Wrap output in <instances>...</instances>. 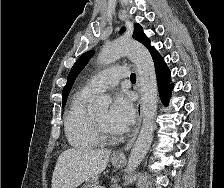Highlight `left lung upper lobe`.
Returning a JSON list of instances; mask_svg holds the SVG:
<instances>
[{"label":"left lung upper lobe","instance_id":"left-lung-upper-lobe-1","mask_svg":"<svg viewBox=\"0 0 224 188\" xmlns=\"http://www.w3.org/2000/svg\"><path fill=\"white\" fill-rule=\"evenodd\" d=\"M135 28H136V30L134 32L133 38L136 39L137 41L141 42L143 45H145L149 49L154 62H157L158 60H160L161 59L160 54L154 49V47H152L150 45V41L146 37V35L143 33L142 27L139 24H136ZM92 54H93L92 50L84 53L83 55L80 56V58L73 65V67L68 75L67 83H66L65 87L63 88L62 107H64V105L66 103L68 94L72 88L75 78L81 72V70L85 67V65L89 61Z\"/></svg>","mask_w":224,"mask_h":188}]
</instances>
